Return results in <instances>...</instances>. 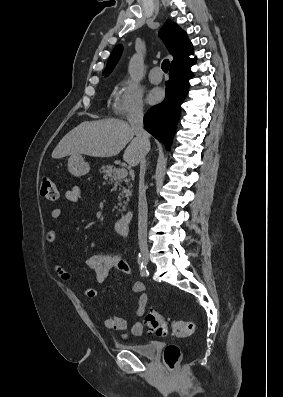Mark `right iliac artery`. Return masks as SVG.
Returning a JSON list of instances; mask_svg holds the SVG:
<instances>
[{
	"label": "right iliac artery",
	"mask_w": 283,
	"mask_h": 397,
	"mask_svg": "<svg viewBox=\"0 0 283 397\" xmlns=\"http://www.w3.org/2000/svg\"><path fill=\"white\" fill-rule=\"evenodd\" d=\"M138 264H139V269H140V275L141 276H146L148 274L147 268L144 265L143 261L141 260V254L138 255Z\"/></svg>",
	"instance_id": "obj_1"
}]
</instances>
